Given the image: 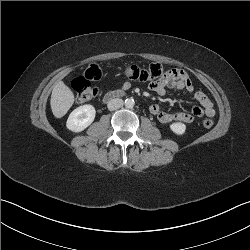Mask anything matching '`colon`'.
Wrapping results in <instances>:
<instances>
[{
	"label": "colon",
	"mask_w": 250,
	"mask_h": 250,
	"mask_svg": "<svg viewBox=\"0 0 250 250\" xmlns=\"http://www.w3.org/2000/svg\"><path fill=\"white\" fill-rule=\"evenodd\" d=\"M167 73L165 68L159 63H152L147 67L130 65L124 68L123 74L134 81L148 82L153 80L158 82ZM103 71L98 64H90L84 72V75L73 80L72 87L75 92L76 100L80 103L87 102L95 98L98 94L97 88L91 85V81L99 80ZM213 126V120L205 119L203 127L210 129Z\"/></svg>",
	"instance_id": "5ec220e1"
}]
</instances>
